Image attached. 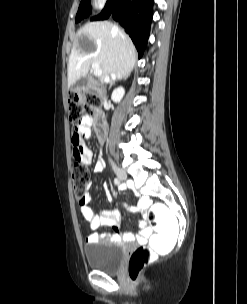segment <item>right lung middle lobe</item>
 Instances as JSON below:
<instances>
[{"mask_svg": "<svg viewBox=\"0 0 247 304\" xmlns=\"http://www.w3.org/2000/svg\"><path fill=\"white\" fill-rule=\"evenodd\" d=\"M91 13L90 0H81L75 22H80Z\"/></svg>", "mask_w": 247, "mask_h": 304, "instance_id": "right-lung-middle-lobe-1", "label": "right lung middle lobe"}]
</instances>
